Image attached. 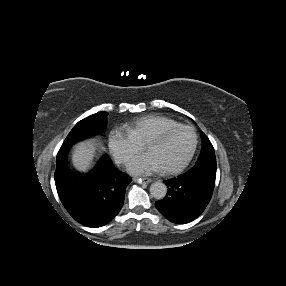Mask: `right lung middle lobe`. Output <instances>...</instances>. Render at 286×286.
Returning a JSON list of instances; mask_svg holds the SVG:
<instances>
[{"label": "right lung middle lobe", "mask_w": 286, "mask_h": 286, "mask_svg": "<svg viewBox=\"0 0 286 286\" xmlns=\"http://www.w3.org/2000/svg\"><path fill=\"white\" fill-rule=\"evenodd\" d=\"M107 112H99L79 121L68 134L60 150H68L78 140L103 131L107 124Z\"/></svg>", "instance_id": "1"}]
</instances>
